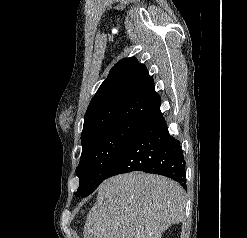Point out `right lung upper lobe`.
<instances>
[{"instance_id":"right-lung-upper-lobe-1","label":"right lung upper lobe","mask_w":247,"mask_h":238,"mask_svg":"<svg viewBox=\"0 0 247 238\" xmlns=\"http://www.w3.org/2000/svg\"><path fill=\"white\" fill-rule=\"evenodd\" d=\"M161 99L145 65L135 57L120 60L92 98L85 114L84 137L116 120H148L160 112Z\"/></svg>"}]
</instances>
